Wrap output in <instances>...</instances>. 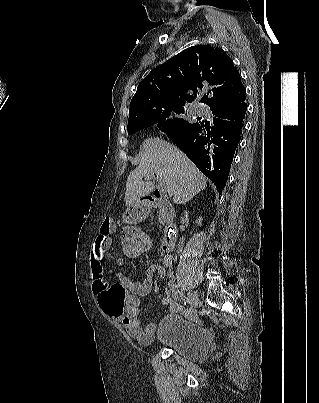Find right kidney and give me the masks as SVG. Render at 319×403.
<instances>
[{"label":"right kidney","instance_id":"1","mask_svg":"<svg viewBox=\"0 0 319 403\" xmlns=\"http://www.w3.org/2000/svg\"><path fill=\"white\" fill-rule=\"evenodd\" d=\"M196 223H197L198 226H201L202 225V217L197 219Z\"/></svg>","mask_w":319,"mask_h":403}]
</instances>
